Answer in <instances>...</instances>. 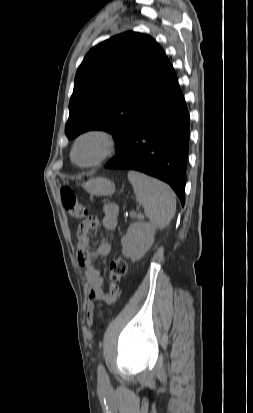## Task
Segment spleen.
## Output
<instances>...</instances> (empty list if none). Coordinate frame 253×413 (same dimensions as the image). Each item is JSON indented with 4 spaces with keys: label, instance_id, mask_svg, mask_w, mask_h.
<instances>
[{
    "label": "spleen",
    "instance_id": "3e777b00",
    "mask_svg": "<svg viewBox=\"0 0 253 413\" xmlns=\"http://www.w3.org/2000/svg\"><path fill=\"white\" fill-rule=\"evenodd\" d=\"M128 179L152 225L159 229L168 226L176 211V197L172 189L155 178L133 170L128 172Z\"/></svg>",
    "mask_w": 253,
    "mask_h": 413
}]
</instances>
